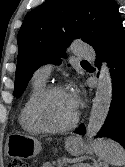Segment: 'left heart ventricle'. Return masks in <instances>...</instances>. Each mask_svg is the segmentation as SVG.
<instances>
[{
	"mask_svg": "<svg viewBox=\"0 0 125 167\" xmlns=\"http://www.w3.org/2000/svg\"><path fill=\"white\" fill-rule=\"evenodd\" d=\"M76 108L67 92H57L49 96L40 110V118L49 127H61L72 120Z\"/></svg>",
	"mask_w": 125,
	"mask_h": 167,
	"instance_id": "1",
	"label": "left heart ventricle"
}]
</instances>
